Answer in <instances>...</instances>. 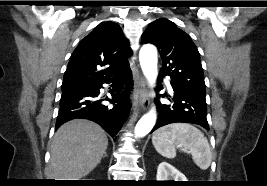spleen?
Instances as JSON below:
<instances>
[{"label": "spleen", "mask_w": 267, "mask_h": 186, "mask_svg": "<svg viewBox=\"0 0 267 186\" xmlns=\"http://www.w3.org/2000/svg\"><path fill=\"white\" fill-rule=\"evenodd\" d=\"M156 151L163 157L173 159L176 147L190 153L194 163L200 169H207L212 160L207 138L195 126L188 123H173L159 128L152 136Z\"/></svg>", "instance_id": "3e777b00"}]
</instances>
